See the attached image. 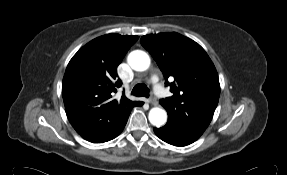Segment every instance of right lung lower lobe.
<instances>
[{"instance_id": "1", "label": "right lung lower lobe", "mask_w": 287, "mask_h": 175, "mask_svg": "<svg viewBox=\"0 0 287 175\" xmlns=\"http://www.w3.org/2000/svg\"><path fill=\"white\" fill-rule=\"evenodd\" d=\"M141 105H143V103H141L138 106H141ZM128 117H129V115L122 121V123L108 137H106L105 139H103L102 141H100L98 143L107 142V141L112 140L115 137H117L122 132V130L124 129V127L127 123Z\"/></svg>"}]
</instances>
